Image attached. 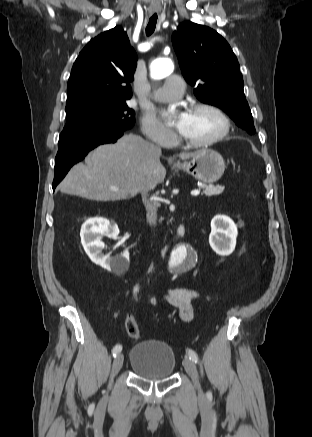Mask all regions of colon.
<instances>
[{"label":"colon","instance_id":"5ec220e1","mask_svg":"<svg viewBox=\"0 0 312 437\" xmlns=\"http://www.w3.org/2000/svg\"><path fill=\"white\" fill-rule=\"evenodd\" d=\"M125 329H126L128 335L131 336L132 338H135V339L139 338L140 331H139L137 322H136L133 315H129L125 319Z\"/></svg>","mask_w":312,"mask_h":437}]
</instances>
